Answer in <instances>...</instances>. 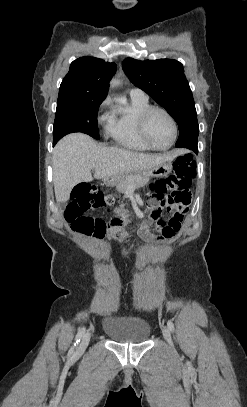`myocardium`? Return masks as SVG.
<instances>
[{
	"label": "myocardium",
	"instance_id": "myocardium-1",
	"mask_svg": "<svg viewBox=\"0 0 247 407\" xmlns=\"http://www.w3.org/2000/svg\"><path fill=\"white\" fill-rule=\"evenodd\" d=\"M155 112H160L164 114L172 123L173 126V137L170 142V144L166 147H157L155 146L149 139L148 134H147V122L150 116L155 113ZM137 127H138V133L141 138V140L152 150L155 151H166L170 149L176 142L177 137H178V124L175 120V118L172 116V114L167 111L164 108L161 107H156V106H151L147 108L145 111H143L138 118L137 122Z\"/></svg>",
	"mask_w": 247,
	"mask_h": 407
}]
</instances>
